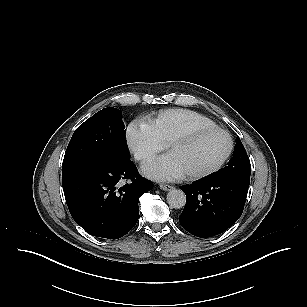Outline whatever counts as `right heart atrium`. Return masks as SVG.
Wrapping results in <instances>:
<instances>
[{"label":"right heart atrium","mask_w":307,"mask_h":307,"mask_svg":"<svg viewBox=\"0 0 307 307\" xmlns=\"http://www.w3.org/2000/svg\"><path fill=\"white\" fill-rule=\"evenodd\" d=\"M126 143L134 159L145 168L150 166L162 149L148 128L139 123H131L126 131Z\"/></svg>","instance_id":"d8ad5b80"}]
</instances>
